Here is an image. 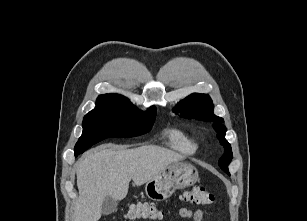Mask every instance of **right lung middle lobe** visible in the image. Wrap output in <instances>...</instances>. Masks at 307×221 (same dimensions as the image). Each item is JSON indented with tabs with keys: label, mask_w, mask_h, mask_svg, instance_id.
I'll return each instance as SVG.
<instances>
[{
	"label": "right lung middle lobe",
	"mask_w": 307,
	"mask_h": 221,
	"mask_svg": "<svg viewBox=\"0 0 307 221\" xmlns=\"http://www.w3.org/2000/svg\"><path fill=\"white\" fill-rule=\"evenodd\" d=\"M156 108L139 111L128 103L102 102L83 119V133L75 145V156L106 138H128L147 132L155 120Z\"/></svg>",
	"instance_id": "1"
}]
</instances>
